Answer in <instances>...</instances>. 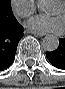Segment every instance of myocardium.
<instances>
[{"label": "myocardium", "mask_w": 65, "mask_h": 89, "mask_svg": "<svg viewBox=\"0 0 65 89\" xmlns=\"http://www.w3.org/2000/svg\"><path fill=\"white\" fill-rule=\"evenodd\" d=\"M57 3L62 4L64 6V8H65V1H57Z\"/></svg>", "instance_id": "1"}]
</instances>
